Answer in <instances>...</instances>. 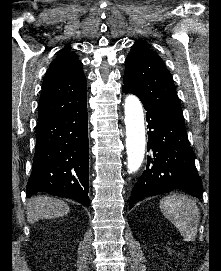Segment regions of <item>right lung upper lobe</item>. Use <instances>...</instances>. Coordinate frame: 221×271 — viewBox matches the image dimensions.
Returning a JSON list of instances; mask_svg holds the SVG:
<instances>
[{"mask_svg": "<svg viewBox=\"0 0 221 271\" xmlns=\"http://www.w3.org/2000/svg\"><path fill=\"white\" fill-rule=\"evenodd\" d=\"M86 78L78 55L66 47L50 64L42 85L38 122L86 105Z\"/></svg>", "mask_w": 221, "mask_h": 271, "instance_id": "1", "label": "right lung upper lobe"}]
</instances>
